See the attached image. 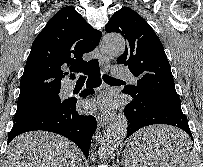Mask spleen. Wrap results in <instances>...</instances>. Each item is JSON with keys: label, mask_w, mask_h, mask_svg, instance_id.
Segmentation results:
<instances>
[{"label": "spleen", "mask_w": 203, "mask_h": 167, "mask_svg": "<svg viewBox=\"0 0 203 167\" xmlns=\"http://www.w3.org/2000/svg\"><path fill=\"white\" fill-rule=\"evenodd\" d=\"M158 149L157 145L151 148H142L139 143L131 147L130 158L127 160L129 167H198L196 156L192 150H187L178 160H162L159 150L157 155L151 153Z\"/></svg>", "instance_id": "3e777b00"}]
</instances>
